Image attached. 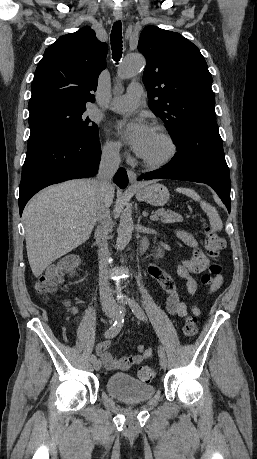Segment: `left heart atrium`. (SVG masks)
<instances>
[{
	"label": "left heart atrium",
	"instance_id": "39dd6f15",
	"mask_svg": "<svg viewBox=\"0 0 257 459\" xmlns=\"http://www.w3.org/2000/svg\"><path fill=\"white\" fill-rule=\"evenodd\" d=\"M118 134L132 149L143 156L153 134L152 126L144 119L135 122L120 121L117 123Z\"/></svg>",
	"mask_w": 257,
	"mask_h": 459
}]
</instances>
